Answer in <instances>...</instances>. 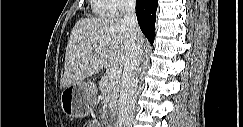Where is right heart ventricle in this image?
<instances>
[{
	"label": "right heart ventricle",
	"instance_id": "e07e8e85",
	"mask_svg": "<svg viewBox=\"0 0 243 127\" xmlns=\"http://www.w3.org/2000/svg\"><path fill=\"white\" fill-rule=\"evenodd\" d=\"M93 10L97 16L107 17L111 15V3L108 0H95L93 1Z\"/></svg>",
	"mask_w": 243,
	"mask_h": 127
}]
</instances>
